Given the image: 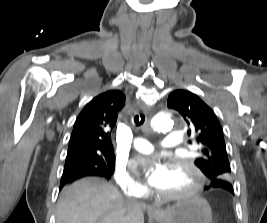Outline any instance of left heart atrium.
Returning <instances> with one entry per match:
<instances>
[{
	"instance_id": "39dd6f15",
	"label": "left heart atrium",
	"mask_w": 267,
	"mask_h": 223,
	"mask_svg": "<svg viewBox=\"0 0 267 223\" xmlns=\"http://www.w3.org/2000/svg\"><path fill=\"white\" fill-rule=\"evenodd\" d=\"M167 176L168 168L160 160H153L149 163L147 182L150 186L157 188Z\"/></svg>"
}]
</instances>
